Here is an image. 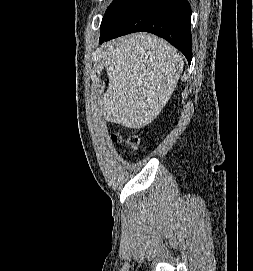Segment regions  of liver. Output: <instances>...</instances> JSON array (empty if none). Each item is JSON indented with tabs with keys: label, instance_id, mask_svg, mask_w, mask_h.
I'll return each mask as SVG.
<instances>
[{
	"label": "liver",
	"instance_id": "obj_1",
	"mask_svg": "<svg viewBox=\"0 0 253 271\" xmlns=\"http://www.w3.org/2000/svg\"><path fill=\"white\" fill-rule=\"evenodd\" d=\"M109 86L101 101L106 120L130 129L150 124L174 92L183 57L165 40L134 33L104 44Z\"/></svg>",
	"mask_w": 253,
	"mask_h": 271
}]
</instances>
